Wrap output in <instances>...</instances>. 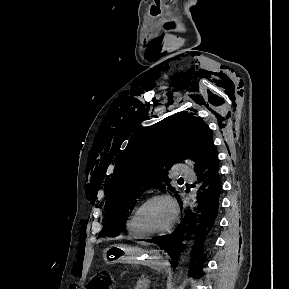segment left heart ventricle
I'll return each instance as SVG.
<instances>
[{"mask_svg":"<svg viewBox=\"0 0 289 289\" xmlns=\"http://www.w3.org/2000/svg\"><path fill=\"white\" fill-rule=\"evenodd\" d=\"M173 211L166 200H154L147 204L139 216L141 228L148 232L165 229L172 221Z\"/></svg>","mask_w":289,"mask_h":289,"instance_id":"b2bd125f","label":"left heart ventricle"}]
</instances>
